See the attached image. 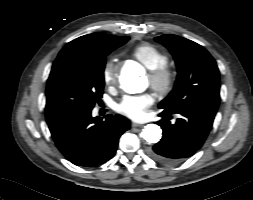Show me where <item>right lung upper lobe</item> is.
<instances>
[{"instance_id":"1","label":"right lung upper lobe","mask_w":253,"mask_h":200,"mask_svg":"<svg viewBox=\"0 0 253 200\" xmlns=\"http://www.w3.org/2000/svg\"><path fill=\"white\" fill-rule=\"evenodd\" d=\"M119 36L108 35L104 33H93L81 36L69 42L62 51H75V52H95L104 44L110 42Z\"/></svg>"}]
</instances>
